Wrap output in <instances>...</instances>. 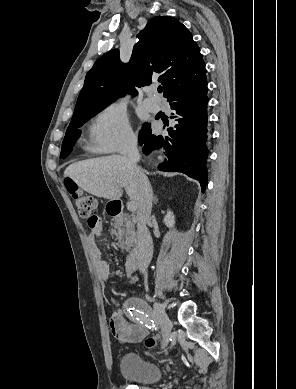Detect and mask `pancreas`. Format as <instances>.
<instances>
[{
	"instance_id": "cf45deb5",
	"label": "pancreas",
	"mask_w": 296,
	"mask_h": 389,
	"mask_svg": "<svg viewBox=\"0 0 296 389\" xmlns=\"http://www.w3.org/2000/svg\"><path fill=\"white\" fill-rule=\"evenodd\" d=\"M114 229L111 230V234L116 236L118 240V246L121 249L129 250L130 244L135 237L134 225L128 217H115Z\"/></svg>"
}]
</instances>
